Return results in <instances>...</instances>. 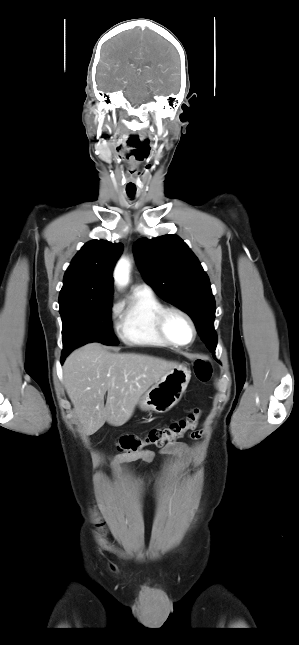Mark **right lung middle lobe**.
<instances>
[{"mask_svg": "<svg viewBox=\"0 0 299 645\" xmlns=\"http://www.w3.org/2000/svg\"><path fill=\"white\" fill-rule=\"evenodd\" d=\"M112 296L72 299L60 303L62 318V357L89 342L117 345L111 328Z\"/></svg>", "mask_w": 299, "mask_h": 645, "instance_id": "dd1d6c3e", "label": "right lung middle lobe"}]
</instances>
